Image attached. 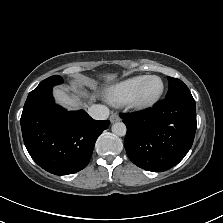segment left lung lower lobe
Masks as SVG:
<instances>
[{"label":"left lung lower lobe","mask_w":223,"mask_h":223,"mask_svg":"<svg viewBox=\"0 0 223 223\" xmlns=\"http://www.w3.org/2000/svg\"><path fill=\"white\" fill-rule=\"evenodd\" d=\"M120 117L127 127V155L145 170L162 172L172 168L193 144L197 127L194 99L165 98L153 108Z\"/></svg>","instance_id":"0a47b994"}]
</instances>
